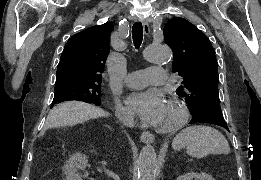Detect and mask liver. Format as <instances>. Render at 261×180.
Instances as JSON below:
<instances>
[{
  "label": "liver",
  "instance_id": "6515ba94",
  "mask_svg": "<svg viewBox=\"0 0 261 180\" xmlns=\"http://www.w3.org/2000/svg\"><path fill=\"white\" fill-rule=\"evenodd\" d=\"M57 118H59L62 126H73V124H82L91 118H99L105 116L104 110H99L90 104L84 102H65L53 108ZM74 112H78V116H74Z\"/></svg>",
  "mask_w": 261,
  "mask_h": 180
}]
</instances>
